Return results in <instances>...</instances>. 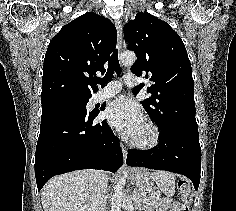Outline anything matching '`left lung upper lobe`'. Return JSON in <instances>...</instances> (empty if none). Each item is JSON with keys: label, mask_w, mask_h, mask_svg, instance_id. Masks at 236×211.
<instances>
[{"label": "left lung upper lobe", "mask_w": 236, "mask_h": 211, "mask_svg": "<svg viewBox=\"0 0 236 211\" xmlns=\"http://www.w3.org/2000/svg\"><path fill=\"white\" fill-rule=\"evenodd\" d=\"M124 34L137 55L131 71L153 82L147 88L151 96L142 102L151 119L160 130H198L192 68L179 35L148 12L128 22Z\"/></svg>", "instance_id": "1"}]
</instances>
